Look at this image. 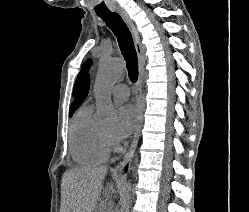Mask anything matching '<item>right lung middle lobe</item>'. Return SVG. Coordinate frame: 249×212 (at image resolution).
<instances>
[{"label": "right lung middle lobe", "mask_w": 249, "mask_h": 212, "mask_svg": "<svg viewBox=\"0 0 249 212\" xmlns=\"http://www.w3.org/2000/svg\"><path fill=\"white\" fill-rule=\"evenodd\" d=\"M74 112H70V117L73 115Z\"/></svg>", "instance_id": "dd1d6c3e"}]
</instances>
